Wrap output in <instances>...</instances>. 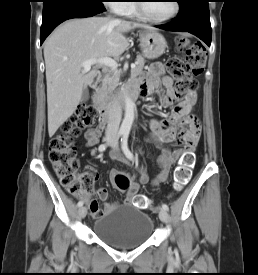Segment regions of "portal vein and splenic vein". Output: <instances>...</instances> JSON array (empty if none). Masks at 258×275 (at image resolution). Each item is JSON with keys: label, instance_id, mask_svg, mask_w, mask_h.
<instances>
[{"label": "portal vein and splenic vein", "instance_id": "obj_1", "mask_svg": "<svg viewBox=\"0 0 258 275\" xmlns=\"http://www.w3.org/2000/svg\"><path fill=\"white\" fill-rule=\"evenodd\" d=\"M95 63H99L101 65H106L108 67H110L112 70H116L117 69V63L115 60L109 58V57H105V58H101L99 60H87L82 64L83 67V71L84 72H88L91 69V65L95 64ZM136 67V63L135 64H131V69Z\"/></svg>", "mask_w": 258, "mask_h": 275}]
</instances>
